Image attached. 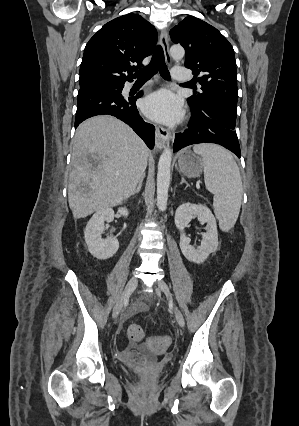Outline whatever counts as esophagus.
Returning a JSON list of instances; mask_svg holds the SVG:
<instances>
[{
    "mask_svg": "<svg viewBox=\"0 0 299 426\" xmlns=\"http://www.w3.org/2000/svg\"><path fill=\"white\" fill-rule=\"evenodd\" d=\"M160 44L164 50L165 59L167 63L171 62L170 54H169V38L167 30H162L159 37ZM156 146L158 148H163L166 143L172 138L171 132L160 126L156 125Z\"/></svg>",
    "mask_w": 299,
    "mask_h": 426,
    "instance_id": "1",
    "label": "esophagus"
}]
</instances>
